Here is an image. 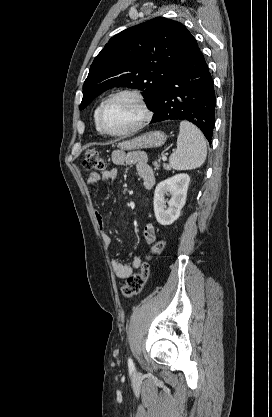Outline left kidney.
<instances>
[{"label":"left kidney","instance_id":"5707ae66","mask_svg":"<svg viewBox=\"0 0 272 417\" xmlns=\"http://www.w3.org/2000/svg\"><path fill=\"white\" fill-rule=\"evenodd\" d=\"M190 182L188 174L180 173L160 182L154 192V213L161 225H170L180 216L185 205L187 190ZM165 194L171 196L166 206Z\"/></svg>","mask_w":272,"mask_h":417}]
</instances>
